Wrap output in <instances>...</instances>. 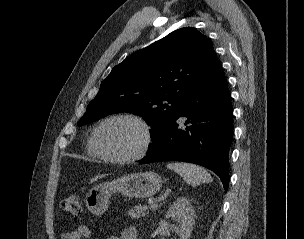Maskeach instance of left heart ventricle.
<instances>
[{"mask_svg":"<svg viewBox=\"0 0 304 239\" xmlns=\"http://www.w3.org/2000/svg\"><path fill=\"white\" fill-rule=\"evenodd\" d=\"M143 141L140 126L129 120H116L104 125L99 134L101 148L112 155L126 156L136 152Z\"/></svg>","mask_w":304,"mask_h":239,"instance_id":"b2bd125f","label":"left heart ventricle"}]
</instances>
